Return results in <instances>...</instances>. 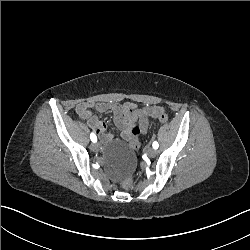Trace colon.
Masks as SVG:
<instances>
[{"instance_id": "obj_1", "label": "colon", "mask_w": 250, "mask_h": 250, "mask_svg": "<svg viewBox=\"0 0 250 250\" xmlns=\"http://www.w3.org/2000/svg\"><path fill=\"white\" fill-rule=\"evenodd\" d=\"M149 113L152 114V115H157L158 116V119L160 122L162 123H167L168 122V114L167 112L160 108V107H157V106H152L149 108ZM141 141L139 140V137H138V134L135 133L134 134V137H133V141L131 142V147L134 149V150H139L141 148ZM135 180V175L134 174H129L127 178H125L122 182L119 183V188L120 189H123L127 192L129 191H134L138 188V183L134 181Z\"/></svg>"}]
</instances>
